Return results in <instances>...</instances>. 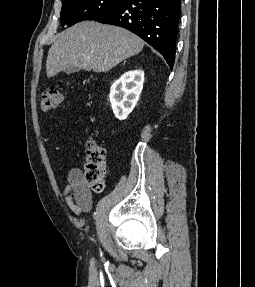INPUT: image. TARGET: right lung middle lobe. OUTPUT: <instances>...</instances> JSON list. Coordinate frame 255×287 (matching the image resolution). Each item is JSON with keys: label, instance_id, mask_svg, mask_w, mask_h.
Wrapping results in <instances>:
<instances>
[{"label": "right lung middle lobe", "instance_id": "1", "mask_svg": "<svg viewBox=\"0 0 255 287\" xmlns=\"http://www.w3.org/2000/svg\"><path fill=\"white\" fill-rule=\"evenodd\" d=\"M125 0H62L60 21L62 25L72 26L84 20H94L104 11Z\"/></svg>", "mask_w": 255, "mask_h": 287}]
</instances>
